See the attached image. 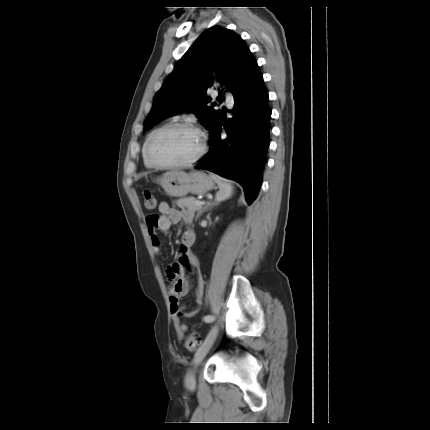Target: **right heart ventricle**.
<instances>
[{
    "mask_svg": "<svg viewBox=\"0 0 430 430\" xmlns=\"http://www.w3.org/2000/svg\"><path fill=\"white\" fill-rule=\"evenodd\" d=\"M160 128V127H159ZM159 128H156V129H154L152 132H150L149 134H148V136H147V138H146V140H145V142H144V145H143V149H142V155H143V162H144V165L147 167V168H153L154 166L152 165V164H150V162L147 160V157H146V154H145V147H146V143H147V141H148V139H149V137L156 131V130H158Z\"/></svg>",
    "mask_w": 430,
    "mask_h": 430,
    "instance_id": "1",
    "label": "right heart ventricle"
}]
</instances>
